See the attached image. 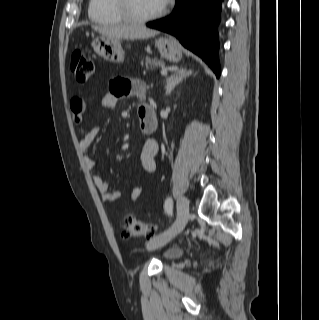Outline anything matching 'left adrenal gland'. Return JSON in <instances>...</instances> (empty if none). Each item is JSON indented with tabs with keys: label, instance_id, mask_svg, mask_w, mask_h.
<instances>
[{
	"label": "left adrenal gland",
	"instance_id": "obj_1",
	"mask_svg": "<svg viewBox=\"0 0 319 320\" xmlns=\"http://www.w3.org/2000/svg\"><path fill=\"white\" fill-rule=\"evenodd\" d=\"M191 74L192 71L187 70L186 68L181 67L180 69L176 70L170 77L166 79L165 94L170 95L175 86L181 83L183 79Z\"/></svg>",
	"mask_w": 319,
	"mask_h": 320
}]
</instances>
